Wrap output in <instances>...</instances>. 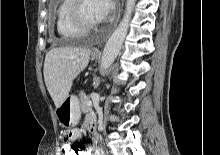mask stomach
I'll list each match as a JSON object with an SVG mask.
<instances>
[{"label":"stomach","mask_w":220,"mask_h":155,"mask_svg":"<svg viewBox=\"0 0 220 155\" xmlns=\"http://www.w3.org/2000/svg\"><path fill=\"white\" fill-rule=\"evenodd\" d=\"M95 57L94 55V58ZM56 116L60 125L63 127L76 126L81 116L78 98L75 96H68L56 109Z\"/></svg>","instance_id":"obj_1"}]
</instances>
